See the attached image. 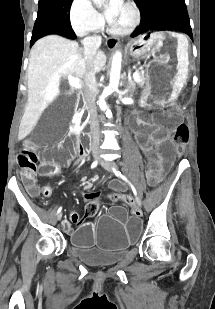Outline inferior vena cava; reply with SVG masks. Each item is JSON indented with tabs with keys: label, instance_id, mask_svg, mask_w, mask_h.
<instances>
[{
	"label": "inferior vena cava",
	"instance_id": "1",
	"mask_svg": "<svg viewBox=\"0 0 215 309\" xmlns=\"http://www.w3.org/2000/svg\"><path fill=\"white\" fill-rule=\"evenodd\" d=\"M82 42L84 44V58L87 68L83 80V96L87 102V108L89 110L92 144H99L100 128L96 108L97 82L93 70V60L102 42V36H86V38H83Z\"/></svg>",
	"mask_w": 215,
	"mask_h": 309
}]
</instances>
